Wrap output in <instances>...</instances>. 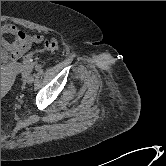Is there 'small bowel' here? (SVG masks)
Listing matches in <instances>:
<instances>
[{"label": "small bowel", "mask_w": 166, "mask_h": 166, "mask_svg": "<svg viewBox=\"0 0 166 166\" xmlns=\"http://www.w3.org/2000/svg\"><path fill=\"white\" fill-rule=\"evenodd\" d=\"M5 36L11 37L12 41H6ZM43 39L44 36L41 34L29 35L12 24L1 26V42H3L14 61L12 65L14 70L18 68L15 61L22 57L32 45L41 43Z\"/></svg>", "instance_id": "obj_1"}]
</instances>
